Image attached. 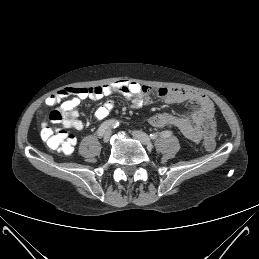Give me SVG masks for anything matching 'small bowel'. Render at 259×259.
I'll list each match as a JSON object with an SVG mask.
<instances>
[{"label":"small bowel","mask_w":259,"mask_h":259,"mask_svg":"<svg viewBox=\"0 0 259 259\" xmlns=\"http://www.w3.org/2000/svg\"><path fill=\"white\" fill-rule=\"evenodd\" d=\"M114 93H120L128 99L133 109L149 105L155 98H160L169 104L185 101L195 103L197 106L190 116L163 112L155 114L149 119V123L156 128L176 127L187 139L195 143H199L205 138L204 124L207 120L214 118L213 102L204 94L180 88H152L131 80H118L95 87L63 88L48 96L45 102L48 106L60 104L59 110L64 115L65 126L81 130L84 125L79 119L78 106L80 103L85 99L96 101ZM114 107L115 101L107 99L96 108L94 117L101 121ZM41 137L46 142L42 133Z\"/></svg>","instance_id":"small-bowel-1"}]
</instances>
